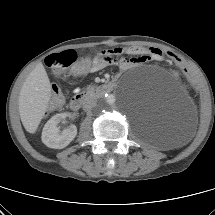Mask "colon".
Instances as JSON below:
<instances>
[{
	"label": "colon",
	"mask_w": 215,
	"mask_h": 215,
	"mask_svg": "<svg viewBox=\"0 0 215 215\" xmlns=\"http://www.w3.org/2000/svg\"><path fill=\"white\" fill-rule=\"evenodd\" d=\"M164 56L170 58L174 62V65L179 69L180 74L189 80L190 87L195 89L197 87V75L194 73L192 66L183 60L177 53L172 50H165ZM78 56L74 50H65L60 53H55L49 55L45 63L55 72H59L69 66L68 74L72 78H77L78 76H83L86 74L87 70L91 68L92 61L87 56H82L77 61ZM74 64V65H73ZM63 104V98L61 91L57 85L53 86V96L50 102V109L55 110L61 107Z\"/></svg>",
	"instance_id": "obj_1"
}]
</instances>
